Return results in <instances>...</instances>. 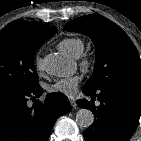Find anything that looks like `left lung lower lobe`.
<instances>
[{
  "mask_svg": "<svg viewBox=\"0 0 141 141\" xmlns=\"http://www.w3.org/2000/svg\"><path fill=\"white\" fill-rule=\"evenodd\" d=\"M83 92L100 101L95 107L93 101L77 100L79 107L95 114L94 123L84 131L85 140L129 141L141 114V86L115 85L98 91L83 87Z\"/></svg>",
  "mask_w": 141,
  "mask_h": 141,
  "instance_id": "0a47b994",
  "label": "left lung lower lobe"
}]
</instances>
